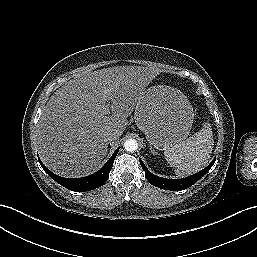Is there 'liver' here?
Masks as SVG:
<instances>
[{"mask_svg":"<svg viewBox=\"0 0 257 257\" xmlns=\"http://www.w3.org/2000/svg\"><path fill=\"white\" fill-rule=\"evenodd\" d=\"M158 74L154 67L104 68L82 72L56 90L37 129L38 152L46 167L70 178L90 174L107 154L104 133L122 135L127 118Z\"/></svg>","mask_w":257,"mask_h":257,"instance_id":"6515ba94","label":"liver"}]
</instances>
